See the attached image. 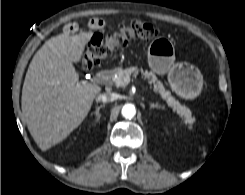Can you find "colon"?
<instances>
[{"label": "colon", "instance_id": "5ec220e1", "mask_svg": "<svg viewBox=\"0 0 245 195\" xmlns=\"http://www.w3.org/2000/svg\"><path fill=\"white\" fill-rule=\"evenodd\" d=\"M156 34L155 27L143 20H133L128 24H121L109 36L96 35L91 39L80 62V67L87 70L92 69L130 41L148 42Z\"/></svg>", "mask_w": 245, "mask_h": 195}]
</instances>
